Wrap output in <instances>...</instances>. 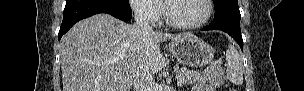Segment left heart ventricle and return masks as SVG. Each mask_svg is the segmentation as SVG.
<instances>
[{
  "instance_id": "obj_1",
  "label": "left heart ventricle",
  "mask_w": 304,
  "mask_h": 91,
  "mask_svg": "<svg viewBox=\"0 0 304 91\" xmlns=\"http://www.w3.org/2000/svg\"><path fill=\"white\" fill-rule=\"evenodd\" d=\"M171 17L181 23H195L204 17L206 6L203 0H177L169 3Z\"/></svg>"
}]
</instances>
